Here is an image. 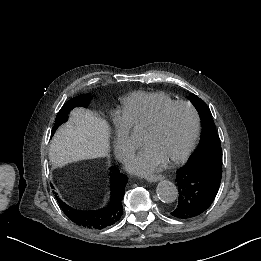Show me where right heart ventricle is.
<instances>
[{
  "label": "right heart ventricle",
  "instance_id": "right-heart-ventricle-1",
  "mask_svg": "<svg viewBox=\"0 0 261 261\" xmlns=\"http://www.w3.org/2000/svg\"><path fill=\"white\" fill-rule=\"evenodd\" d=\"M171 101H175L174 98L164 91H137L122 98L120 112L127 120L138 121ZM130 150L131 145L128 148Z\"/></svg>",
  "mask_w": 261,
  "mask_h": 261
}]
</instances>
